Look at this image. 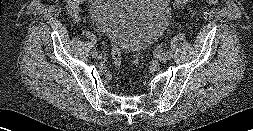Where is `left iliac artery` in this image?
Segmentation results:
<instances>
[{
  "label": "left iliac artery",
  "instance_id": "obj_1",
  "mask_svg": "<svg viewBox=\"0 0 253 131\" xmlns=\"http://www.w3.org/2000/svg\"><path fill=\"white\" fill-rule=\"evenodd\" d=\"M156 51L158 52V53H166V54H169L170 52H171V49L169 48V47H165V46H158L157 48H156ZM172 57H173V55H172Z\"/></svg>",
  "mask_w": 253,
  "mask_h": 131
}]
</instances>
